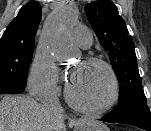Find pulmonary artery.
Instances as JSON below:
<instances>
[{
    "label": "pulmonary artery",
    "instance_id": "1",
    "mask_svg": "<svg viewBox=\"0 0 151 131\" xmlns=\"http://www.w3.org/2000/svg\"><path fill=\"white\" fill-rule=\"evenodd\" d=\"M73 40L79 47L87 49L92 45L93 36L89 29L84 27H76L73 30Z\"/></svg>",
    "mask_w": 151,
    "mask_h": 131
}]
</instances>
